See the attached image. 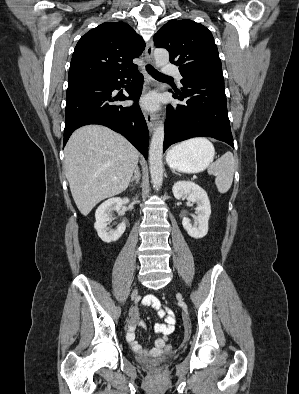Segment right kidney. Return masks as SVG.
I'll list each match as a JSON object with an SVG mask.
<instances>
[{
    "label": "right kidney",
    "mask_w": 299,
    "mask_h": 394,
    "mask_svg": "<svg viewBox=\"0 0 299 394\" xmlns=\"http://www.w3.org/2000/svg\"><path fill=\"white\" fill-rule=\"evenodd\" d=\"M129 202L128 198L115 197L104 201L96 210L95 218L96 222L94 228L96 229L98 236L103 242L110 243L117 241L126 229V224L121 223L116 230L108 229L107 225L110 221V216L113 211H120L123 204Z\"/></svg>",
    "instance_id": "ca27d5eb"
}]
</instances>
